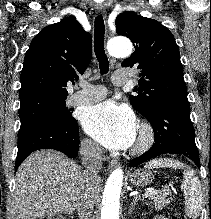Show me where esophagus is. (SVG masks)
I'll list each match as a JSON object with an SVG mask.
<instances>
[{
  "instance_id": "34e87169",
  "label": "esophagus",
  "mask_w": 211,
  "mask_h": 219,
  "mask_svg": "<svg viewBox=\"0 0 211 219\" xmlns=\"http://www.w3.org/2000/svg\"><path fill=\"white\" fill-rule=\"evenodd\" d=\"M95 10L97 13H104L105 12V7L103 5H97L95 7ZM109 168H115L118 166V161L117 160H111L109 161V164H108Z\"/></svg>"
}]
</instances>
